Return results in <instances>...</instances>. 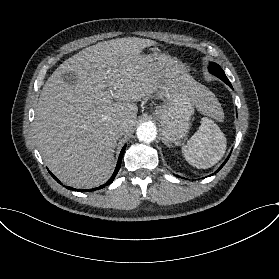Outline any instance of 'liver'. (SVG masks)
<instances>
[{"label":"liver","mask_w":279,"mask_h":279,"mask_svg":"<svg viewBox=\"0 0 279 279\" xmlns=\"http://www.w3.org/2000/svg\"><path fill=\"white\" fill-rule=\"evenodd\" d=\"M157 44L134 37L99 42L64 61L48 78L35 111V136L45 163L64 183L90 188L108 180L119 139L115 128L127 123L126 138L136 123L135 102L162 100L172 78L184 79L183 89L197 107L202 86L144 54ZM67 70L77 72V84L63 81Z\"/></svg>","instance_id":"liver-1"}]
</instances>
